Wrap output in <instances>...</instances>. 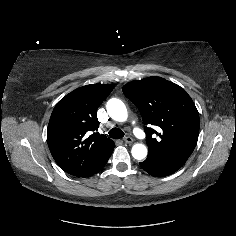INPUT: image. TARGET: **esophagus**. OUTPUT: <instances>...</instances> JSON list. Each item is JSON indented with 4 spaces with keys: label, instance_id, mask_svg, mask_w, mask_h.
Masks as SVG:
<instances>
[{
    "label": "esophagus",
    "instance_id": "obj_1",
    "mask_svg": "<svg viewBox=\"0 0 236 236\" xmlns=\"http://www.w3.org/2000/svg\"><path fill=\"white\" fill-rule=\"evenodd\" d=\"M124 141L127 143V144H132L133 143V138L130 137V136H126L124 138Z\"/></svg>",
    "mask_w": 236,
    "mask_h": 236
}]
</instances>
